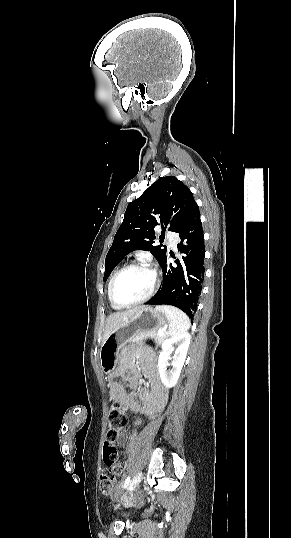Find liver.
Segmentation results:
<instances>
[{"label":"liver","mask_w":291,"mask_h":538,"mask_svg":"<svg viewBox=\"0 0 291 538\" xmlns=\"http://www.w3.org/2000/svg\"><path fill=\"white\" fill-rule=\"evenodd\" d=\"M143 308H145V306H139L123 312L110 314L106 319L102 343L112 332H114L115 329L127 323L135 313Z\"/></svg>","instance_id":"1"}]
</instances>
